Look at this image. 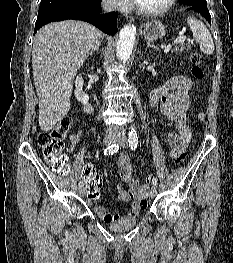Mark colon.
I'll use <instances>...</instances> for the list:
<instances>
[{
	"label": "colon",
	"instance_id": "1",
	"mask_svg": "<svg viewBox=\"0 0 233 263\" xmlns=\"http://www.w3.org/2000/svg\"><path fill=\"white\" fill-rule=\"evenodd\" d=\"M192 64L191 74L195 80H202L204 72L201 67L202 56L198 52H192L189 56ZM71 128V120L63 118L49 130L42 132L38 137V143L42 150L44 160L55 172H65L67 170V158L63 153L64 139ZM186 159V152L179 153L175 158V164H182ZM97 171H82L80 180H86L87 190H83V195H88V199H99V188L101 186V175ZM149 179L146 181L148 186Z\"/></svg>",
	"mask_w": 233,
	"mask_h": 263
}]
</instances>
